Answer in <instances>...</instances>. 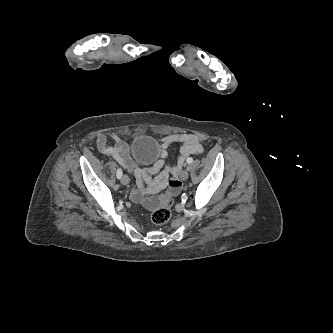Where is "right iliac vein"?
<instances>
[{
  "label": "right iliac vein",
  "instance_id": "right-iliac-vein-1",
  "mask_svg": "<svg viewBox=\"0 0 333 333\" xmlns=\"http://www.w3.org/2000/svg\"><path fill=\"white\" fill-rule=\"evenodd\" d=\"M129 181H130V179H129V177H128L127 175H123V176H122V178H121V183H122L123 185H128V184H129Z\"/></svg>",
  "mask_w": 333,
  "mask_h": 333
}]
</instances>
